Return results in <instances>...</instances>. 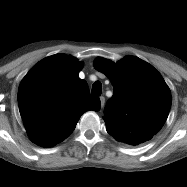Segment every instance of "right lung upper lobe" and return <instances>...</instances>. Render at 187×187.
I'll list each match as a JSON object with an SVG mask.
<instances>
[{"mask_svg": "<svg viewBox=\"0 0 187 187\" xmlns=\"http://www.w3.org/2000/svg\"><path fill=\"white\" fill-rule=\"evenodd\" d=\"M83 63L56 54L38 62L23 78L18 90L20 114L35 144L51 147L68 137L80 116L101 108L88 84L79 78Z\"/></svg>", "mask_w": 187, "mask_h": 187, "instance_id": "1", "label": "right lung upper lobe"}]
</instances>
